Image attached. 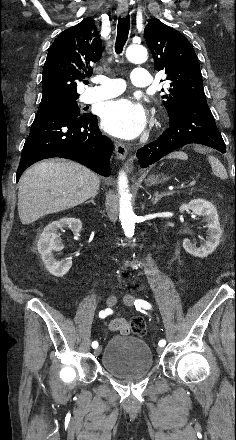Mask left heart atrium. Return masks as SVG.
<instances>
[{"instance_id": "left-heart-atrium-1", "label": "left heart atrium", "mask_w": 236, "mask_h": 440, "mask_svg": "<svg viewBox=\"0 0 236 440\" xmlns=\"http://www.w3.org/2000/svg\"><path fill=\"white\" fill-rule=\"evenodd\" d=\"M145 113L136 102L121 98L108 103L102 114V125L109 134L132 139L144 128Z\"/></svg>"}]
</instances>
